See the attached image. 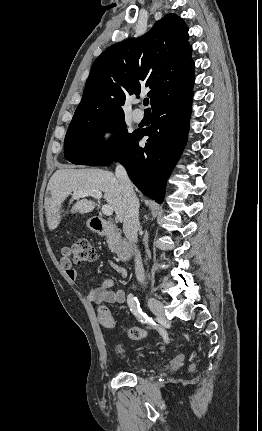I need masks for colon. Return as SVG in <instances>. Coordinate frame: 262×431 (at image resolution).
Here are the masks:
<instances>
[{"instance_id": "obj_1", "label": "colon", "mask_w": 262, "mask_h": 431, "mask_svg": "<svg viewBox=\"0 0 262 431\" xmlns=\"http://www.w3.org/2000/svg\"><path fill=\"white\" fill-rule=\"evenodd\" d=\"M95 253V247L86 240H77L62 248L63 257L71 259L78 264L92 261L95 257ZM99 319L103 327L107 329L114 328V319L107 310H102L99 313ZM145 336L146 331L140 327L133 326L128 330V337L131 340H142Z\"/></svg>"}]
</instances>
